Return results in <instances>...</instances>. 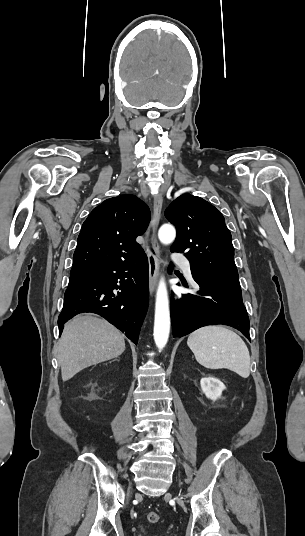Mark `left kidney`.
<instances>
[{"mask_svg": "<svg viewBox=\"0 0 305 536\" xmlns=\"http://www.w3.org/2000/svg\"><path fill=\"white\" fill-rule=\"evenodd\" d=\"M200 386L202 388V392H204L205 396L210 398V400H218L223 390H225L223 382H220V380H217V378H214V376L201 378Z\"/></svg>", "mask_w": 305, "mask_h": 536, "instance_id": "left-kidney-1", "label": "left kidney"}]
</instances>
